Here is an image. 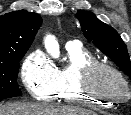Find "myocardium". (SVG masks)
<instances>
[{
  "instance_id": "myocardium-1",
  "label": "myocardium",
  "mask_w": 131,
  "mask_h": 115,
  "mask_svg": "<svg viewBox=\"0 0 131 115\" xmlns=\"http://www.w3.org/2000/svg\"><path fill=\"white\" fill-rule=\"evenodd\" d=\"M103 70L113 73L122 82L124 86L123 96L109 95L106 93H102L95 88L94 77L98 72ZM78 89L88 96L107 102L120 101L126 98L130 93L128 82L123 74L114 66L101 61H94L81 68L79 72Z\"/></svg>"
}]
</instances>
